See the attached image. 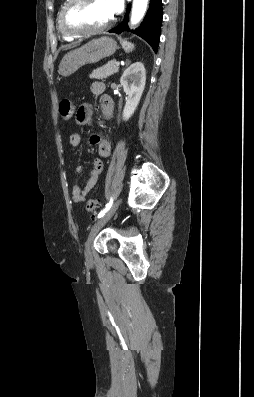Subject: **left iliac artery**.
Here are the masks:
<instances>
[{"label": "left iliac artery", "instance_id": "1", "mask_svg": "<svg viewBox=\"0 0 254 397\" xmlns=\"http://www.w3.org/2000/svg\"><path fill=\"white\" fill-rule=\"evenodd\" d=\"M112 203L113 200L111 199L109 203L105 206V208H103V210L100 211V213L98 214V218L103 217L107 213V211L111 208Z\"/></svg>", "mask_w": 254, "mask_h": 397}]
</instances>
